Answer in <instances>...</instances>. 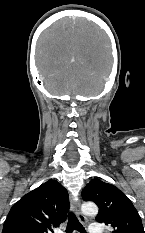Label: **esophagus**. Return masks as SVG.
Here are the masks:
<instances>
[{"label":"esophagus","instance_id":"obj_1","mask_svg":"<svg viewBox=\"0 0 145 233\" xmlns=\"http://www.w3.org/2000/svg\"><path fill=\"white\" fill-rule=\"evenodd\" d=\"M71 206L72 208L75 210L76 215L78 217V219L85 223L87 221L86 217L83 215V213L81 212V204L80 201L76 198H72L71 200Z\"/></svg>","mask_w":145,"mask_h":233}]
</instances>
